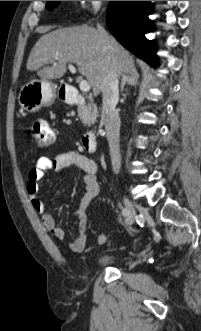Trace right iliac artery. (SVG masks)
Returning a JSON list of instances; mask_svg holds the SVG:
<instances>
[{"label":"right iliac artery","instance_id":"right-iliac-artery-1","mask_svg":"<svg viewBox=\"0 0 201 331\" xmlns=\"http://www.w3.org/2000/svg\"><path fill=\"white\" fill-rule=\"evenodd\" d=\"M127 212H128V211H127L126 208L122 210V214H123V215H127Z\"/></svg>","mask_w":201,"mask_h":331}]
</instances>
